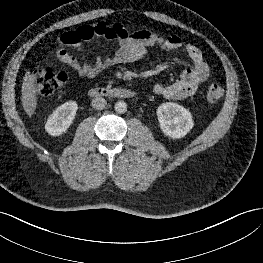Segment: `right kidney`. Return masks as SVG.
<instances>
[{"instance_id":"1","label":"right kidney","mask_w":263,"mask_h":263,"mask_svg":"<svg viewBox=\"0 0 263 263\" xmlns=\"http://www.w3.org/2000/svg\"><path fill=\"white\" fill-rule=\"evenodd\" d=\"M78 105L68 101L60 105L48 118L45 130L52 136H60L67 131L75 119Z\"/></svg>"}]
</instances>
